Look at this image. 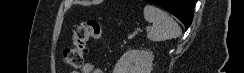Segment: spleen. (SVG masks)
<instances>
[{
	"instance_id": "spleen-1",
	"label": "spleen",
	"mask_w": 244,
	"mask_h": 73,
	"mask_svg": "<svg viewBox=\"0 0 244 73\" xmlns=\"http://www.w3.org/2000/svg\"><path fill=\"white\" fill-rule=\"evenodd\" d=\"M144 19L152 23L151 30L147 33V37L151 41H165L181 35V28L178 23L158 7L146 5L144 7Z\"/></svg>"
}]
</instances>
